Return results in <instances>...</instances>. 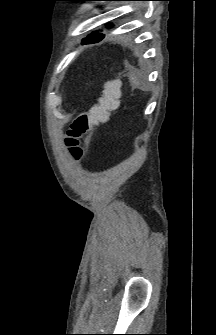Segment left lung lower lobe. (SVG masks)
I'll list each match as a JSON object with an SVG mask.
<instances>
[{
	"mask_svg": "<svg viewBox=\"0 0 216 335\" xmlns=\"http://www.w3.org/2000/svg\"><path fill=\"white\" fill-rule=\"evenodd\" d=\"M102 39V36L101 37H98V38H96L95 40H90V41H82V43L84 44V43H93V42H97V41H99V40H101Z\"/></svg>",
	"mask_w": 216,
	"mask_h": 335,
	"instance_id": "obj_1",
	"label": "left lung lower lobe"
}]
</instances>
